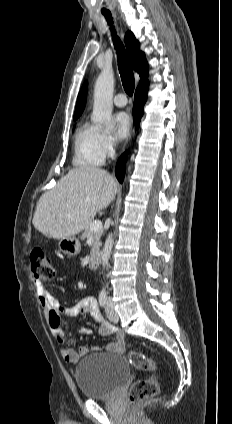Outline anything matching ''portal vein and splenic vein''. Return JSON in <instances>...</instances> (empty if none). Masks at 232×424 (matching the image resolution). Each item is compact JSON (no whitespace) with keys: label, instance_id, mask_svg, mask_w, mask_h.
<instances>
[{"label":"portal vein and splenic vein","instance_id":"portal-vein-and-splenic-vein-1","mask_svg":"<svg viewBox=\"0 0 232 424\" xmlns=\"http://www.w3.org/2000/svg\"><path fill=\"white\" fill-rule=\"evenodd\" d=\"M90 229L92 231L101 230L102 229V223H101V221H93L92 224H91V226H90Z\"/></svg>","mask_w":232,"mask_h":424}]
</instances>
